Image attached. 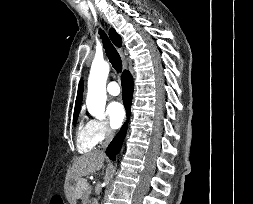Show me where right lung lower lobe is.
Segmentation results:
<instances>
[{
    "label": "right lung lower lobe",
    "instance_id": "right-lung-lower-lobe-1",
    "mask_svg": "<svg viewBox=\"0 0 253 204\" xmlns=\"http://www.w3.org/2000/svg\"><path fill=\"white\" fill-rule=\"evenodd\" d=\"M122 89H123V102L127 111V117L130 115V106L133 96V78L129 71H124L122 78ZM127 126H123L120 132L115 136L112 142L106 149V154L111 160H115L116 154L119 152L122 146L123 139L126 134Z\"/></svg>",
    "mask_w": 253,
    "mask_h": 204
}]
</instances>
